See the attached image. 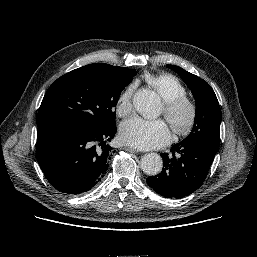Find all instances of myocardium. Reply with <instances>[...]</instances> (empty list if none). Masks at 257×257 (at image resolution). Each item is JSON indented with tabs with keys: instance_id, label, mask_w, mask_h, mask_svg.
Masks as SVG:
<instances>
[{
	"instance_id": "obj_1",
	"label": "myocardium",
	"mask_w": 257,
	"mask_h": 257,
	"mask_svg": "<svg viewBox=\"0 0 257 257\" xmlns=\"http://www.w3.org/2000/svg\"><path fill=\"white\" fill-rule=\"evenodd\" d=\"M163 115L171 124L175 135L188 133L194 125L197 116V107L187 96H180L173 100L164 101Z\"/></svg>"
}]
</instances>
